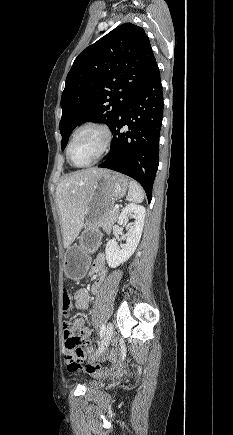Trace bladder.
<instances>
[{
  "label": "bladder",
  "instance_id": "obj_1",
  "mask_svg": "<svg viewBox=\"0 0 233 435\" xmlns=\"http://www.w3.org/2000/svg\"><path fill=\"white\" fill-rule=\"evenodd\" d=\"M94 377H95L96 379H102V378H103V375H101V374H96V375H94ZM95 386H96L95 383L90 384V387H95Z\"/></svg>",
  "mask_w": 233,
  "mask_h": 435
}]
</instances>
